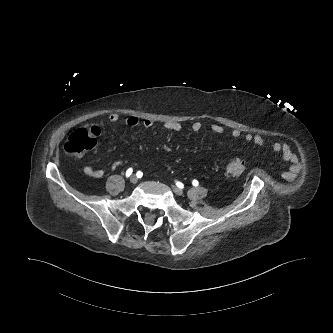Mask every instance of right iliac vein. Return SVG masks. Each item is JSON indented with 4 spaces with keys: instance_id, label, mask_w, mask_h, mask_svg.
Segmentation results:
<instances>
[{
    "instance_id": "right-iliac-vein-1",
    "label": "right iliac vein",
    "mask_w": 333,
    "mask_h": 333,
    "mask_svg": "<svg viewBox=\"0 0 333 333\" xmlns=\"http://www.w3.org/2000/svg\"><path fill=\"white\" fill-rule=\"evenodd\" d=\"M137 181H138V178H137V176H135V175H132V176L130 177V182H131L132 184H136V183H137Z\"/></svg>"
}]
</instances>
